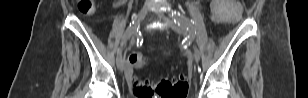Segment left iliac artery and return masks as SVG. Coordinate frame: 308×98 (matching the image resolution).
<instances>
[{
	"label": "left iliac artery",
	"instance_id": "left-iliac-artery-1",
	"mask_svg": "<svg viewBox=\"0 0 308 98\" xmlns=\"http://www.w3.org/2000/svg\"><path fill=\"white\" fill-rule=\"evenodd\" d=\"M171 16H172L174 22L177 23L179 26L187 27V29H193L194 28V21L190 20L189 18H187L186 16L181 14L179 11L172 10ZM208 29H209V26L205 25L204 29L202 30V33L206 34Z\"/></svg>",
	"mask_w": 308,
	"mask_h": 98
}]
</instances>
